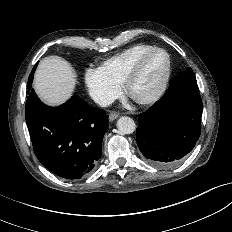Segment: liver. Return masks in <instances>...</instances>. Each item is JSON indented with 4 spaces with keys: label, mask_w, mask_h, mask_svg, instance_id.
Segmentation results:
<instances>
[{
    "label": "liver",
    "mask_w": 232,
    "mask_h": 232,
    "mask_svg": "<svg viewBox=\"0 0 232 232\" xmlns=\"http://www.w3.org/2000/svg\"><path fill=\"white\" fill-rule=\"evenodd\" d=\"M76 85V73L66 60L58 56L44 58L38 65L34 88L47 104L57 106L68 100Z\"/></svg>",
    "instance_id": "1"
}]
</instances>
